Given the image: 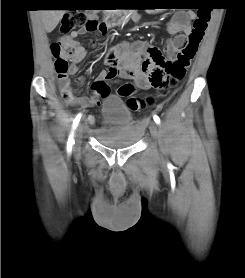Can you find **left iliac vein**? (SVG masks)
<instances>
[{
  "instance_id": "obj_1",
  "label": "left iliac vein",
  "mask_w": 245,
  "mask_h": 278,
  "mask_svg": "<svg viewBox=\"0 0 245 278\" xmlns=\"http://www.w3.org/2000/svg\"><path fill=\"white\" fill-rule=\"evenodd\" d=\"M150 132H151V135L153 136V138L155 140L159 139L160 132H159V129H158V127H157V125L155 123H151V125H150Z\"/></svg>"
}]
</instances>
